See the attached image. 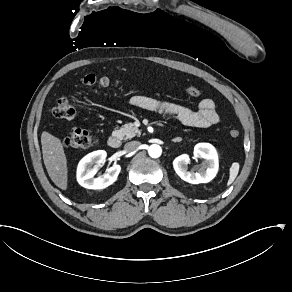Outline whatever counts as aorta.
I'll list each match as a JSON object with an SVG mask.
<instances>
[{"instance_id":"obj_1","label":"aorta","mask_w":292,"mask_h":292,"mask_svg":"<svg viewBox=\"0 0 292 292\" xmlns=\"http://www.w3.org/2000/svg\"><path fill=\"white\" fill-rule=\"evenodd\" d=\"M161 153H162V149L159 145H151L149 146V149H148V154L151 158H158L161 156Z\"/></svg>"}]
</instances>
